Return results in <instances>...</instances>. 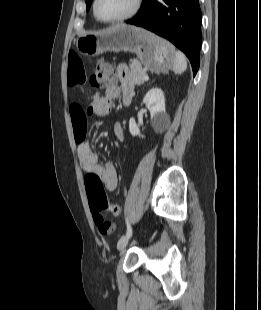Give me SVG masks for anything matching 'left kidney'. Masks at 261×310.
Wrapping results in <instances>:
<instances>
[{
    "mask_svg": "<svg viewBox=\"0 0 261 310\" xmlns=\"http://www.w3.org/2000/svg\"><path fill=\"white\" fill-rule=\"evenodd\" d=\"M143 103L150 111L151 125L154 130L161 131L166 128L169 123V116L165 110L163 91L160 88L150 89L145 95ZM129 131L132 136L143 137L134 118H130L129 120Z\"/></svg>",
    "mask_w": 261,
    "mask_h": 310,
    "instance_id": "obj_1",
    "label": "left kidney"
}]
</instances>
